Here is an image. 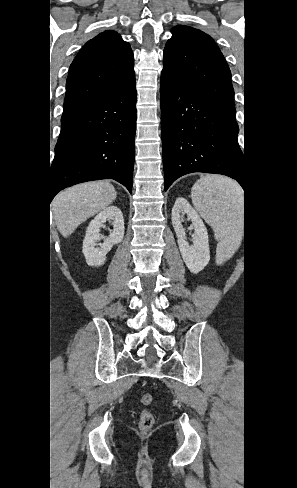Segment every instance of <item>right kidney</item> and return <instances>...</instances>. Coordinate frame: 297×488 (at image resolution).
<instances>
[{
  "label": "right kidney",
  "mask_w": 297,
  "mask_h": 488,
  "mask_svg": "<svg viewBox=\"0 0 297 488\" xmlns=\"http://www.w3.org/2000/svg\"><path fill=\"white\" fill-rule=\"evenodd\" d=\"M107 220L113 221V231L108 237L100 234V228ZM124 238V218L121 210L116 206H110L102 210L89 224L83 240L82 252L89 266H101L105 263L106 255L113 245L122 242ZM100 248H95L97 242Z\"/></svg>",
  "instance_id": "right-kidney-1"
}]
</instances>
